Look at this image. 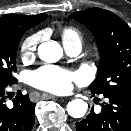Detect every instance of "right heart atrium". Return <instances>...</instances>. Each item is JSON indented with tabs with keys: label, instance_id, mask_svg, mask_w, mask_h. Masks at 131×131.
<instances>
[{
	"label": "right heart atrium",
	"instance_id": "obj_1",
	"mask_svg": "<svg viewBox=\"0 0 131 131\" xmlns=\"http://www.w3.org/2000/svg\"><path fill=\"white\" fill-rule=\"evenodd\" d=\"M40 40H41V34L34 33L27 36L21 42L20 54L23 60L30 59L35 55Z\"/></svg>",
	"mask_w": 131,
	"mask_h": 131
}]
</instances>
